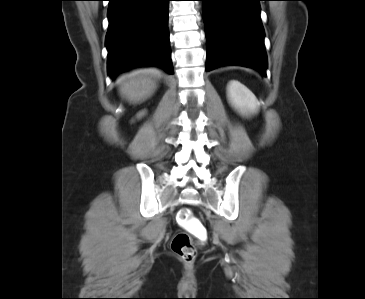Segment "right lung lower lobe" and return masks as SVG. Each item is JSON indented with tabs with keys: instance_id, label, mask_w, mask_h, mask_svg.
Returning a JSON list of instances; mask_svg holds the SVG:
<instances>
[{
	"instance_id": "1",
	"label": "right lung lower lobe",
	"mask_w": 365,
	"mask_h": 299,
	"mask_svg": "<svg viewBox=\"0 0 365 299\" xmlns=\"http://www.w3.org/2000/svg\"><path fill=\"white\" fill-rule=\"evenodd\" d=\"M106 35L111 78L139 66L173 74L167 29L170 0H108Z\"/></svg>"
}]
</instances>
